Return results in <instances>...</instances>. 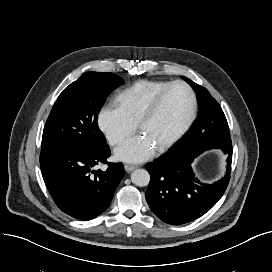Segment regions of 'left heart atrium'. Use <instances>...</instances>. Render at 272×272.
<instances>
[{
  "label": "left heart atrium",
  "mask_w": 272,
  "mask_h": 272,
  "mask_svg": "<svg viewBox=\"0 0 272 272\" xmlns=\"http://www.w3.org/2000/svg\"><path fill=\"white\" fill-rule=\"evenodd\" d=\"M155 151L152 141L145 135H136L127 139L115 150V157L128 163H139L149 159Z\"/></svg>",
  "instance_id": "39dd6f15"
}]
</instances>
